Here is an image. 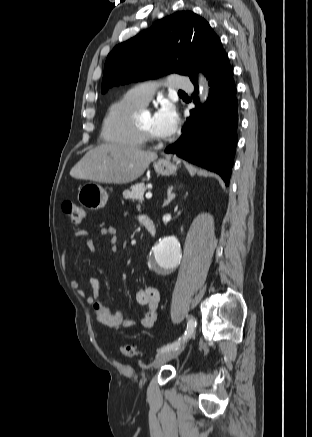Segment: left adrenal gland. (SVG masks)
I'll return each mask as SVG.
<instances>
[{
  "instance_id": "obj_1",
  "label": "left adrenal gland",
  "mask_w": 312,
  "mask_h": 437,
  "mask_svg": "<svg viewBox=\"0 0 312 437\" xmlns=\"http://www.w3.org/2000/svg\"><path fill=\"white\" fill-rule=\"evenodd\" d=\"M173 189H174L173 186L168 188V191H167L168 198H167V200H165L163 206H167L175 198L176 195H175V193H173Z\"/></svg>"
}]
</instances>
